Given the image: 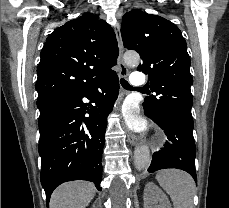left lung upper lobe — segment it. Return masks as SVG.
<instances>
[{"label":"left lung upper lobe","mask_w":229,"mask_h":208,"mask_svg":"<svg viewBox=\"0 0 229 208\" xmlns=\"http://www.w3.org/2000/svg\"><path fill=\"white\" fill-rule=\"evenodd\" d=\"M121 35L124 47L140 54L137 70L149 74L150 89L157 94L145 98L144 110L193 123L191 62L179 28L163 17L130 11L123 16Z\"/></svg>","instance_id":"5c2ea615"}]
</instances>
